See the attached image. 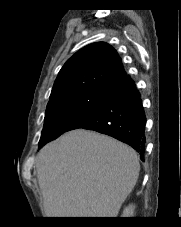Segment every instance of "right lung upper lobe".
I'll use <instances>...</instances> for the list:
<instances>
[{"mask_svg": "<svg viewBox=\"0 0 181 227\" xmlns=\"http://www.w3.org/2000/svg\"><path fill=\"white\" fill-rule=\"evenodd\" d=\"M125 76L116 50L104 42L92 43L66 61L53 85L49 103L73 94L112 89Z\"/></svg>", "mask_w": 181, "mask_h": 227, "instance_id": "1", "label": "right lung upper lobe"}]
</instances>
